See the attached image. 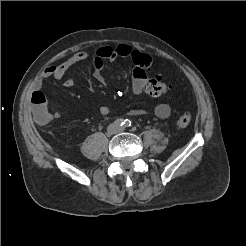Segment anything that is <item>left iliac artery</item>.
I'll return each instance as SVG.
<instances>
[{
    "label": "left iliac artery",
    "instance_id": "1",
    "mask_svg": "<svg viewBox=\"0 0 246 246\" xmlns=\"http://www.w3.org/2000/svg\"><path fill=\"white\" fill-rule=\"evenodd\" d=\"M132 125V122L129 119L124 120V126L125 127H130Z\"/></svg>",
    "mask_w": 246,
    "mask_h": 246
}]
</instances>
